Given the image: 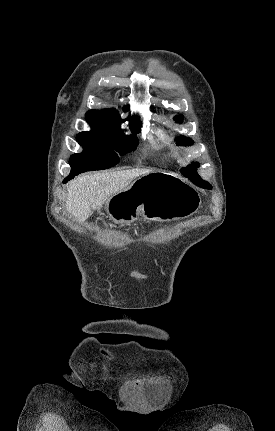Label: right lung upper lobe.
<instances>
[{
    "instance_id": "1",
    "label": "right lung upper lobe",
    "mask_w": 275,
    "mask_h": 431,
    "mask_svg": "<svg viewBox=\"0 0 275 431\" xmlns=\"http://www.w3.org/2000/svg\"><path fill=\"white\" fill-rule=\"evenodd\" d=\"M125 111L129 110V107H124ZM88 123H100V122H118L119 114L115 109H104V110H90L85 115ZM132 128H138L141 123L134 117H128Z\"/></svg>"
}]
</instances>
